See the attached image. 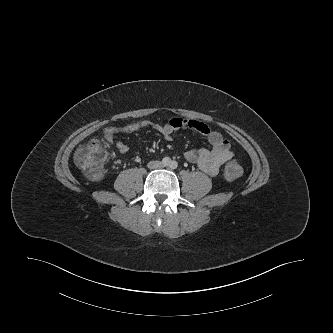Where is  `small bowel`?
I'll use <instances>...</instances> for the list:
<instances>
[{
    "mask_svg": "<svg viewBox=\"0 0 333 333\" xmlns=\"http://www.w3.org/2000/svg\"><path fill=\"white\" fill-rule=\"evenodd\" d=\"M148 128L156 130L168 141L172 140L175 132L181 129L195 130L206 136L212 148L187 150L184 153V158L188 162L196 164L210 176L217 175L222 166L233 157L229 142L219 132L211 130L208 125L192 119L173 118L163 125L140 121L122 127L110 126L104 129L103 136L107 142H113L116 135L132 134ZM116 147L121 154L129 152V147L123 142H117Z\"/></svg>",
    "mask_w": 333,
    "mask_h": 333,
    "instance_id": "c3829d8e",
    "label": "small bowel"
}]
</instances>
